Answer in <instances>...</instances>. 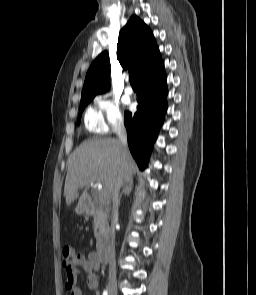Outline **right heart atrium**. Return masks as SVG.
I'll return each mask as SVG.
<instances>
[{
	"mask_svg": "<svg viewBox=\"0 0 256 295\" xmlns=\"http://www.w3.org/2000/svg\"><path fill=\"white\" fill-rule=\"evenodd\" d=\"M94 103L104 131L115 130L123 125L124 117L120 104L111 94L98 95Z\"/></svg>",
	"mask_w": 256,
	"mask_h": 295,
	"instance_id": "obj_1",
	"label": "right heart atrium"
}]
</instances>
